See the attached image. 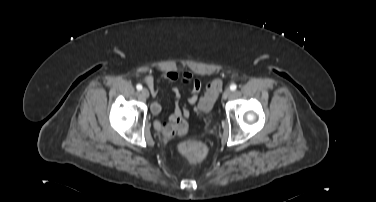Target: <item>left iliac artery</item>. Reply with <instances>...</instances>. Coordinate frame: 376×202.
<instances>
[{"mask_svg": "<svg viewBox=\"0 0 376 202\" xmlns=\"http://www.w3.org/2000/svg\"><path fill=\"white\" fill-rule=\"evenodd\" d=\"M236 89H237L236 84H232V85L230 86V90H231V91H235Z\"/></svg>", "mask_w": 376, "mask_h": 202, "instance_id": "1", "label": "left iliac artery"}]
</instances>
